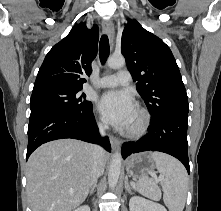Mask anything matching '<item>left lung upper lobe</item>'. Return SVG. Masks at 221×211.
Wrapping results in <instances>:
<instances>
[{
    "instance_id": "left-lung-upper-lobe-1",
    "label": "left lung upper lobe",
    "mask_w": 221,
    "mask_h": 211,
    "mask_svg": "<svg viewBox=\"0 0 221 211\" xmlns=\"http://www.w3.org/2000/svg\"><path fill=\"white\" fill-rule=\"evenodd\" d=\"M121 52L152 120L173 112L188 113L179 68L170 48L160 38L136 20H128L122 33Z\"/></svg>"
}]
</instances>
